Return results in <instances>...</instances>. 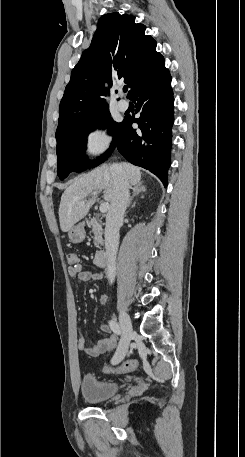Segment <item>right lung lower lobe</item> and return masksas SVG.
<instances>
[{"instance_id":"obj_1","label":"right lung lower lobe","mask_w":245,"mask_h":457,"mask_svg":"<svg viewBox=\"0 0 245 457\" xmlns=\"http://www.w3.org/2000/svg\"><path fill=\"white\" fill-rule=\"evenodd\" d=\"M130 98L137 102L136 113L140 112V117H124L117 149L132 164L158 176L166 187L174 120V98L168 69L163 68L139 83L132 90ZM133 123L138 124V132L132 129Z\"/></svg>"}]
</instances>
